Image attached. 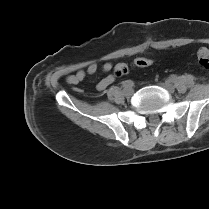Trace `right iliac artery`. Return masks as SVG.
Segmentation results:
<instances>
[{
  "label": "right iliac artery",
  "mask_w": 209,
  "mask_h": 209,
  "mask_svg": "<svg viewBox=\"0 0 209 209\" xmlns=\"http://www.w3.org/2000/svg\"><path fill=\"white\" fill-rule=\"evenodd\" d=\"M123 87L128 88V87H132V83L131 82H124Z\"/></svg>",
  "instance_id": "82829eb1"
}]
</instances>
